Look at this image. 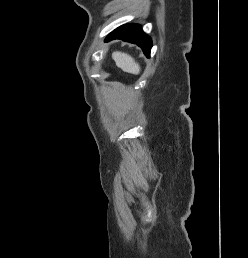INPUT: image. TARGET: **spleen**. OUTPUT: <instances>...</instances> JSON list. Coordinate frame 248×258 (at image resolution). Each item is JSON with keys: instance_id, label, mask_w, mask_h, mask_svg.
Returning a JSON list of instances; mask_svg holds the SVG:
<instances>
[{"instance_id": "spleen-1", "label": "spleen", "mask_w": 248, "mask_h": 258, "mask_svg": "<svg viewBox=\"0 0 248 258\" xmlns=\"http://www.w3.org/2000/svg\"><path fill=\"white\" fill-rule=\"evenodd\" d=\"M112 59L115 61L117 67L124 72L138 75L141 71L140 65L128 54L119 51L112 53Z\"/></svg>"}]
</instances>
